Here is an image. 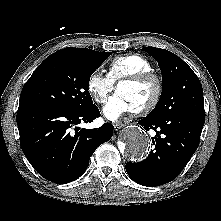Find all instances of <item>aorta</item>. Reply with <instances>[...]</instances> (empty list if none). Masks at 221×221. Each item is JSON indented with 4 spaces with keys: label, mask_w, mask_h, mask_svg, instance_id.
Segmentation results:
<instances>
[{
    "label": "aorta",
    "mask_w": 221,
    "mask_h": 221,
    "mask_svg": "<svg viewBox=\"0 0 221 221\" xmlns=\"http://www.w3.org/2000/svg\"><path fill=\"white\" fill-rule=\"evenodd\" d=\"M122 154L132 161H141L146 158L150 149L148 135L138 127L129 128L123 137Z\"/></svg>",
    "instance_id": "762f6f07"
}]
</instances>
